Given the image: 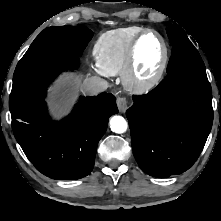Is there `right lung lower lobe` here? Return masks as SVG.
Segmentation results:
<instances>
[{
  "mask_svg": "<svg viewBox=\"0 0 221 221\" xmlns=\"http://www.w3.org/2000/svg\"><path fill=\"white\" fill-rule=\"evenodd\" d=\"M45 96L46 89L10 109L16 140L42 174L65 180L87 176L93 168L97 144L106 132L108 119L118 112L115 96L101 93L83 97L59 123L49 119Z\"/></svg>",
  "mask_w": 221,
  "mask_h": 221,
  "instance_id": "right-lung-lower-lobe-1",
  "label": "right lung lower lobe"
}]
</instances>
